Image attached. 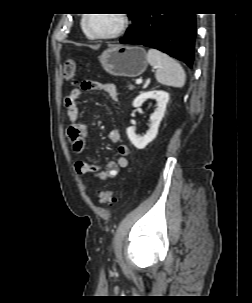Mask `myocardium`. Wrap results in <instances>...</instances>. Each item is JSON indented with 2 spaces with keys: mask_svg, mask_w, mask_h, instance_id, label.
Masks as SVG:
<instances>
[{
  "mask_svg": "<svg viewBox=\"0 0 252 303\" xmlns=\"http://www.w3.org/2000/svg\"><path fill=\"white\" fill-rule=\"evenodd\" d=\"M119 16V25L114 29L107 33H92L89 31L87 27V21L89 19V16H86L83 18L81 26L84 31V33L92 39L96 40H106V39H112L116 38L119 35H121L128 27L129 25V19L128 15L125 13L117 14Z\"/></svg>",
  "mask_w": 252,
  "mask_h": 303,
  "instance_id": "myocardium-1",
  "label": "myocardium"
}]
</instances>
